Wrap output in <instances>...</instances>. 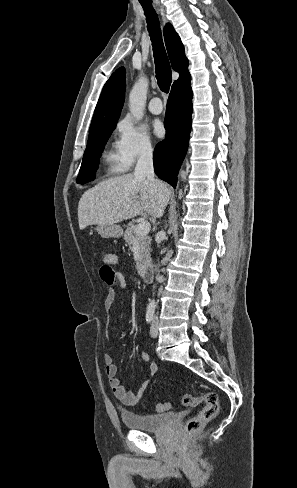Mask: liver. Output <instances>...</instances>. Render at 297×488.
I'll return each mask as SVG.
<instances>
[{
  "label": "liver",
  "instance_id": "6515ba94",
  "mask_svg": "<svg viewBox=\"0 0 297 488\" xmlns=\"http://www.w3.org/2000/svg\"><path fill=\"white\" fill-rule=\"evenodd\" d=\"M170 190L145 177L126 174L109 178L84 192L78 205L80 230L89 225H111L146 212L162 217Z\"/></svg>",
  "mask_w": 297,
  "mask_h": 488
}]
</instances>
